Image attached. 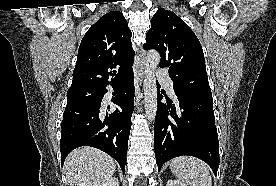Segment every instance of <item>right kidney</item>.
Instances as JSON below:
<instances>
[{
    "mask_svg": "<svg viewBox=\"0 0 276 186\" xmlns=\"http://www.w3.org/2000/svg\"><path fill=\"white\" fill-rule=\"evenodd\" d=\"M102 186H119L118 178L116 177L110 178L108 181L103 183Z\"/></svg>",
    "mask_w": 276,
    "mask_h": 186,
    "instance_id": "right-kidney-1",
    "label": "right kidney"
}]
</instances>
